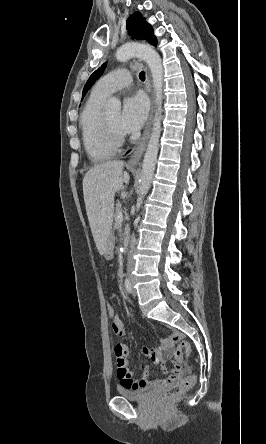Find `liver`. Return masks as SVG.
<instances>
[{
    "label": "liver",
    "mask_w": 266,
    "mask_h": 444,
    "mask_svg": "<svg viewBox=\"0 0 266 444\" xmlns=\"http://www.w3.org/2000/svg\"><path fill=\"white\" fill-rule=\"evenodd\" d=\"M122 161H107L93 166L83 178V195L91 232L99 253L102 255L114 214V196L123 183L130 180L123 172Z\"/></svg>",
    "instance_id": "obj_1"
}]
</instances>
